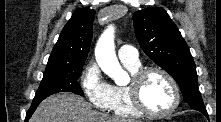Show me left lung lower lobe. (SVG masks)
Segmentation results:
<instances>
[{
    "instance_id": "0a47b994",
    "label": "left lung lower lobe",
    "mask_w": 221,
    "mask_h": 122,
    "mask_svg": "<svg viewBox=\"0 0 221 122\" xmlns=\"http://www.w3.org/2000/svg\"><path fill=\"white\" fill-rule=\"evenodd\" d=\"M196 110L200 111L201 113H203L208 118V113H207L205 108H198Z\"/></svg>"
}]
</instances>
